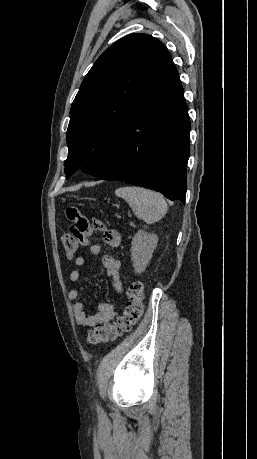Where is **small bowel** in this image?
<instances>
[{
	"label": "small bowel",
	"mask_w": 257,
	"mask_h": 459,
	"mask_svg": "<svg viewBox=\"0 0 257 459\" xmlns=\"http://www.w3.org/2000/svg\"><path fill=\"white\" fill-rule=\"evenodd\" d=\"M66 220H69L72 227H68V236H74V240L77 241L78 247H87L88 252L92 255H98L101 251V247L97 243H92L90 236L94 235V232L102 234L105 243L111 248H117L121 244V235L118 231L109 229L106 225L98 220L94 219L86 220V214L83 211L82 205H67ZM74 264L77 269L72 270L69 273V280L71 282H78L81 279V271L85 265V258L78 256L74 259ZM102 264L107 275L112 279V286L117 293H123V284L121 280V262L118 258L113 255L106 254L102 257ZM80 290L71 289L69 292L70 300L75 301L73 304V313L77 324L84 327H94L99 324H105L111 321L117 315V307L111 302H101L98 304L97 312L94 314H88L85 308V304L79 301Z\"/></svg>",
	"instance_id": "c3829d8e"
}]
</instances>
